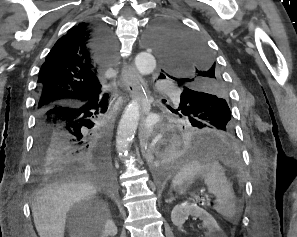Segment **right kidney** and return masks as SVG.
<instances>
[{"label":"right kidney","instance_id":"1","mask_svg":"<svg viewBox=\"0 0 297 237\" xmlns=\"http://www.w3.org/2000/svg\"><path fill=\"white\" fill-rule=\"evenodd\" d=\"M117 234V227L111 219H106L105 221H100L98 225L94 226V229L85 233L84 237H108L115 236Z\"/></svg>","mask_w":297,"mask_h":237}]
</instances>
